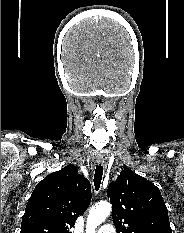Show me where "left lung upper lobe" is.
<instances>
[{
  "label": "left lung upper lobe",
  "instance_id": "left-lung-upper-lobe-1",
  "mask_svg": "<svg viewBox=\"0 0 184 233\" xmlns=\"http://www.w3.org/2000/svg\"><path fill=\"white\" fill-rule=\"evenodd\" d=\"M107 196L117 233H172L160 190L132 170L120 172Z\"/></svg>",
  "mask_w": 184,
  "mask_h": 233
}]
</instances>
